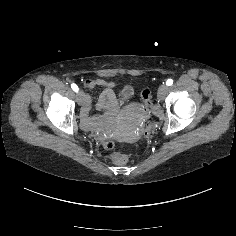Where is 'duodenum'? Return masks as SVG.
<instances>
[{"label": "duodenum", "mask_w": 236, "mask_h": 236, "mask_svg": "<svg viewBox=\"0 0 236 236\" xmlns=\"http://www.w3.org/2000/svg\"><path fill=\"white\" fill-rule=\"evenodd\" d=\"M116 98L113 92L111 91H104L99 98L97 103L98 109H104L105 113L101 116L90 117L89 116V109H90V99L86 97L84 102V108L82 111V124L87 129H94L102 124H104L108 117L112 115L116 110Z\"/></svg>", "instance_id": "1"}]
</instances>
